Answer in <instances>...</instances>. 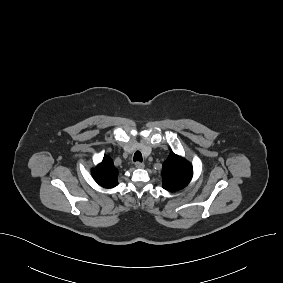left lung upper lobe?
<instances>
[{
	"instance_id": "1",
	"label": "left lung upper lobe",
	"mask_w": 283,
	"mask_h": 283,
	"mask_svg": "<svg viewBox=\"0 0 283 283\" xmlns=\"http://www.w3.org/2000/svg\"><path fill=\"white\" fill-rule=\"evenodd\" d=\"M163 188L177 191L188 185L192 178V165L186 159L170 153L163 163Z\"/></svg>"
}]
</instances>
